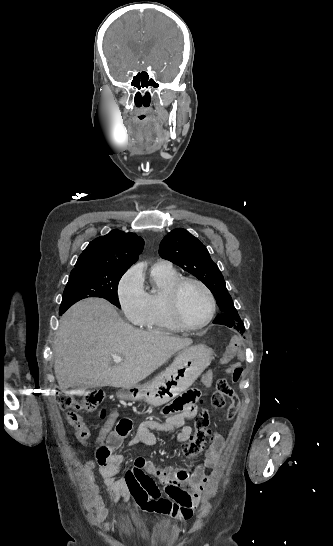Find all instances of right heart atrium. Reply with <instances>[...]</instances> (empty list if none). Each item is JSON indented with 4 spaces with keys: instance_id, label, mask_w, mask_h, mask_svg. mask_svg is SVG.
I'll list each match as a JSON object with an SVG mask.
<instances>
[{
    "instance_id": "right-heart-atrium-1",
    "label": "right heart atrium",
    "mask_w": 333,
    "mask_h": 546,
    "mask_svg": "<svg viewBox=\"0 0 333 546\" xmlns=\"http://www.w3.org/2000/svg\"><path fill=\"white\" fill-rule=\"evenodd\" d=\"M117 301L128 321L142 324L147 312V301L142 278L135 268H130L120 279L117 285Z\"/></svg>"
}]
</instances>
